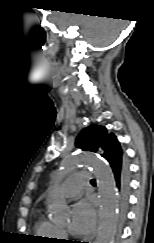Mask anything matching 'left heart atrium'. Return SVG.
<instances>
[{
  "instance_id": "1",
  "label": "left heart atrium",
  "mask_w": 154,
  "mask_h": 243,
  "mask_svg": "<svg viewBox=\"0 0 154 243\" xmlns=\"http://www.w3.org/2000/svg\"><path fill=\"white\" fill-rule=\"evenodd\" d=\"M96 225V213L89 200H81L74 206L70 230L78 235H88Z\"/></svg>"
}]
</instances>
